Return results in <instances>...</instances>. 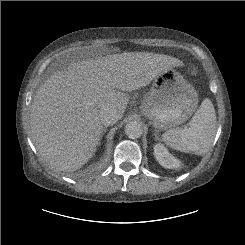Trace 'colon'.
<instances>
[{"instance_id":"colon-1","label":"colon","mask_w":245,"mask_h":245,"mask_svg":"<svg viewBox=\"0 0 245 245\" xmlns=\"http://www.w3.org/2000/svg\"><path fill=\"white\" fill-rule=\"evenodd\" d=\"M190 71H191V73H195L196 72L195 67H191Z\"/></svg>"}]
</instances>
